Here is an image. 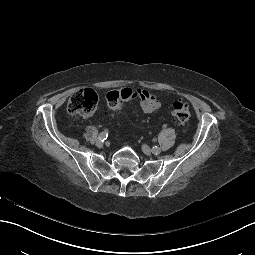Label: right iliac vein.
Listing matches in <instances>:
<instances>
[{"mask_svg":"<svg viewBox=\"0 0 255 255\" xmlns=\"http://www.w3.org/2000/svg\"><path fill=\"white\" fill-rule=\"evenodd\" d=\"M96 145H97L98 147H102V146L104 145V142H103L102 140L98 139V140L96 141Z\"/></svg>","mask_w":255,"mask_h":255,"instance_id":"1","label":"right iliac vein"}]
</instances>
